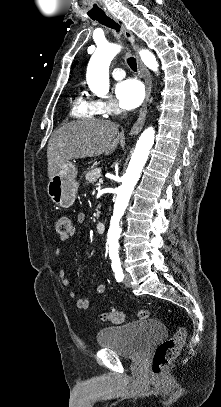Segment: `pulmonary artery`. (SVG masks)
<instances>
[{"mask_svg":"<svg viewBox=\"0 0 221 407\" xmlns=\"http://www.w3.org/2000/svg\"><path fill=\"white\" fill-rule=\"evenodd\" d=\"M125 75H126L125 71L122 68H119V67L114 68L113 71H112V76L116 80L123 79L125 77Z\"/></svg>","mask_w":221,"mask_h":407,"instance_id":"e3ab8cb5","label":"pulmonary artery"}]
</instances>
